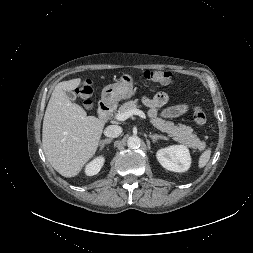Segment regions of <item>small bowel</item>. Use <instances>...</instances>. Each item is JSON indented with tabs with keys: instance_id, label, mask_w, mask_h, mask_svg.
Returning a JSON list of instances; mask_svg holds the SVG:
<instances>
[{
	"instance_id": "c3829d8e",
	"label": "small bowel",
	"mask_w": 253,
	"mask_h": 253,
	"mask_svg": "<svg viewBox=\"0 0 253 253\" xmlns=\"http://www.w3.org/2000/svg\"><path fill=\"white\" fill-rule=\"evenodd\" d=\"M168 102V95L165 92H159L152 98H143V103L149 108L152 116L161 112L165 118H173L180 116L187 112L188 105L180 104L172 107L165 108Z\"/></svg>"
}]
</instances>
